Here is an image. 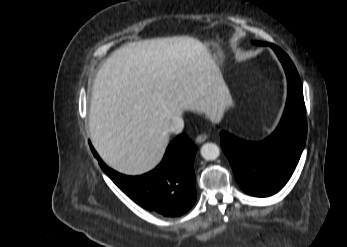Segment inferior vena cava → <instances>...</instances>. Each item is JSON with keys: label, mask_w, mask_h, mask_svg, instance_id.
Returning <instances> with one entry per match:
<instances>
[{"label": "inferior vena cava", "mask_w": 347, "mask_h": 247, "mask_svg": "<svg viewBox=\"0 0 347 247\" xmlns=\"http://www.w3.org/2000/svg\"><path fill=\"white\" fill-rule=\"evenodd\" d=\"M184 128V121L181 117L176 116L173 118L170 126L168 127V132L169 133H175V134H179L182 132Z\"/></svg>", "instance_id": "602c4592"}]
</instances>
